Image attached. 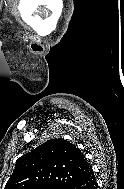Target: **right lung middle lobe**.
I'll list each match as a JSON object with an SVG mask.
<instances>
[{"instance_id":"dd1d6c3e","label":"right lung middle lobe","mask_w":124,"mask_h":189,"mask_svg":"<svg viewBox=\"0 0 124 189\" xmlns=\"http://www.w3.org/2000/svg\"><path fill=\"white\" fill-rule=\"evenodd\" d=\"M42 189H63L62 186H47V187H43Z\"/></svg>"}]
</instances>
